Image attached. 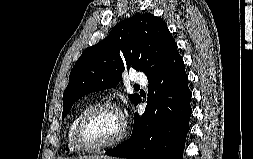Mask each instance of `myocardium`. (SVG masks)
Here are the masks:
<instances>
[{"label":"myocardium","instance_id":"f54148a6","mask_svg":"<svg viewBox=\"0 0 253 159\" xmlns=\"http://www.w3.org/2000/svg\"><path fill=\"white\" fill-rule=\"evenodd\" d=\"M102 109H112L116 111L122 121V128L120 133L112 140L98 144V145H92L89 144L85 141L84 139V127L87 122V120L97 111L102 110ZM127 135V122L124 118V115L120 108L113 102L110 101H103L99 103H95L93 105H90L80 116L78 119L75 128H74V143L75 145L83 151H100V150H105L111 147H114L118 144H120L126 137Z\"/></svg>","mask_w":253,"mask_h":159}]
</instances>
